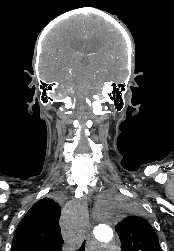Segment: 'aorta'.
I'll use <instances>...</instances> for the list:
<instances>
[{
  "label": "aorta",
  "instance_id": "obj_1",
  "mask_svg": "<svg viewBox=\"0 0 174 251\" xmlns=\"http://www.w3.org/2000/svg\"><path fill=\"white\" fill-rule=\"evenodd\" d=\"M113 210L110 207H104L102 204L98 210V219L95 222L94 238L98 243L106 244L113 238Z\"/></svg>",
  "mask_w": 174,
  "mask_h": 251
}]
</instances>
